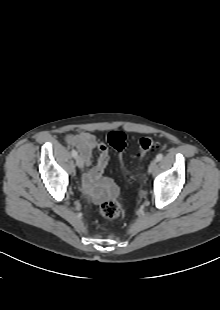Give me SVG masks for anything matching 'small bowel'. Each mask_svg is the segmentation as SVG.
Here are the masks:
<instances>
[{
  "label": "small bowel",
  "instance_id": "small-bowel-1",
  "mask_svg": "<svg viewBox=\"0 0 220 310\" xmlns=\"http://www.w3.org/2000/svg\"><path fill=\"white\" fill-rule=\"evenodd\" d=\"M69 146L76 147L83 159L85 171L82 175V186L86 196L95 203L101 202L107 195L112 194L116 188L114 182L103 177L104 169L109 160L108 149L104 143L89 132L69 133L65 137ZM98 153L96 162L93 164V152Z\"/></svg>",
  "mask_w": 220,
  "mask_h": 310
}]
</instances>
